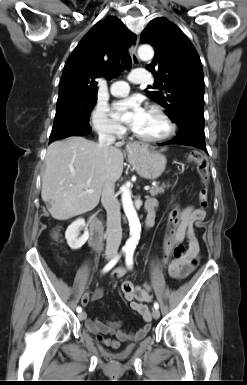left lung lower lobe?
Listing matches in <instances>:
<instances>
[{"label": "left lung lower lobe", "instance_id": "left-lung-lower-lobe-1", "mask_svg": "<svg viewBox=\"0 0 247 385\" xmlns=\"http://www.w3.org/2000/svg\"><path fill=\"white\" fill-rule=\"evenodd\" d=\"M179 133L174 140L159 144H182L190 145L202 150H206L204 135V118L197 116L183 117L178 123Z\"/></svg>", "mask_w": 247, "mask_h": 385}]
</instances>
